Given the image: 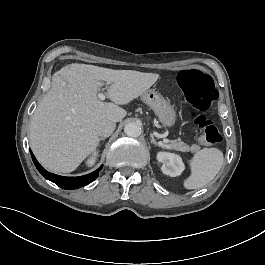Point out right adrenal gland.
<instances>
[{
    "label": "right adrenal gland",
    "mask_w": 265,
    "mask_h": 265,
    "mask_svg": "<svg viewBox=\"0 0 265 265\" xmlns=\"http://www.w3.org/2000/svg\"><path fill=\"white\" fill-rule=\"evenodd\" d=\"M100 140H104V137L100 138ZM94 157H97V154L94 153Z\"/></svg>",
    "instance_id": "right-adrenal-gland-1"
}]
</instances>
